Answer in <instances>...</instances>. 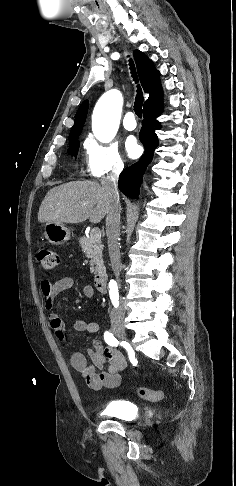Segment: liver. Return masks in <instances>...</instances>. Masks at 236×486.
<instances>
[{
    "label": "liver",
    "instance_id": "6515ba94",
    "mask_svg": "<svg viewBox=\"0 0 236 486\" xmlns=\"http://www.w3.org/2000/svg\"><path fill=\"white\" fill-rule=\"evenodd\" d=\"M109 197L94 181H74L50 189L43 199L38 221L77 224L99 223L107 214Z\"/></svg>",
    "mask_w": 236,
    "mask_h": 486
}]
</instances>
